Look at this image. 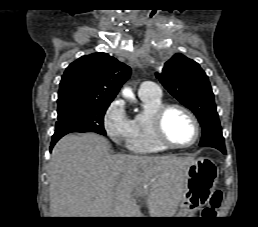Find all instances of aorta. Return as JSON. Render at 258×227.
I'll use <instances>...</instances> for the list:
<instances>
[{
	"label": "aorta",
	"mask_w": 258,
	"mask_h": 227,
	"mask_svg": "<svg viewBox=\"0 0 258 227\" xmlns=\"http://www.w3.org/2000/svg\"><path fill=\"white\" fill-rule=\"evenodd\" d=\"M122 94H123V96L126 97V98H133V97H134V94H133L132 90L129 89V88H124V89L122 90Z\"/></svg>",
	"instance_id": "762f6f07"
}]
</instances>
